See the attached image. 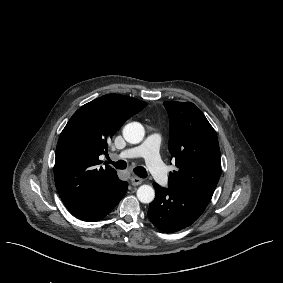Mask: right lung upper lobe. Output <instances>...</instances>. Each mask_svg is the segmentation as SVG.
<instances>
[{
	"label": "right lung upper lobe",
	"instance_id": "1",
	"mask_svg": "<svg viewBox=\"0 0 283 283\" xmlns=\"http://www.w3.org/2000/svg\"><path fill=\"white\" fill-rule=\"evenodd\" d=\"M138 99L108 94L79 108L63 129L56 147L57 191L69 211L101 200L121 180L109 165L95 169L108 153L110 138L123 123L146 106Z\"/></svg>",
	"mask_w": 283,
	"mask_h": 283
}]
</instances>
